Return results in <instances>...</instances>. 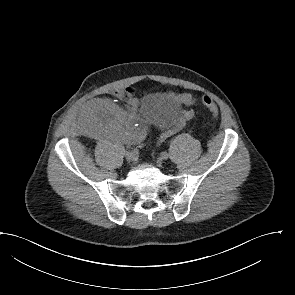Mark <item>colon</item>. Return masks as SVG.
I'll return each instance as SVG.
<instances>
[{
    "instance_id": "colon-1",
    "label": "colon",
    "mask_w": 295,
    "mask_h": 295,
    "mask_svg": "<svg viewBox=\"0 0 295 295\" xmlns=\"http://www.w3.org/2000/svg\"><path fill=\"white\" fill-rule=\"evenodd\" d=\"M201 102L211 112V114L214 117L218 115V107L210 96L208 95L203 96L201 98Z\"/></svg>"
}]
</instances>
